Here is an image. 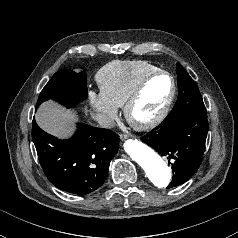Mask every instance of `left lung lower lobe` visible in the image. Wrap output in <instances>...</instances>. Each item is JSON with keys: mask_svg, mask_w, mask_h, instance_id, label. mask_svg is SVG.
Here are the masks:
<instances>
[{"mask_svg": "<svg viewBox=\"0 0 238 238\" xmlns=\"http://www.w3.org/2000/svg\"><path fill=\"white\" fill-rule=\"evenodd\" d=\"M207 132L206 112H179L169 114L141 137L169 160L173 177L167 188L179 186L195 174L203 158Z\"/></svg>", "mask_w": 238, "mask_h": 238, "instance_id": "1", "label": "left lung lower lobe"}]
</instances>
